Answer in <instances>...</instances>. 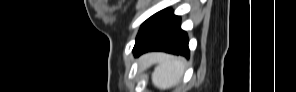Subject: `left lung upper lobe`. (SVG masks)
<instances>
[{
  "instance_id": "1",
  "label": "left lung upper lobe",
  "mask_w": 296,
  "mask_h": 92,
  "mask_svg": "<svg viewBox=\"0 0 296 92\" xmlns=\"http://www.w3.org/2000/svg\"><path fill=\"white\" fill-rule=\"evenodd\" d=\"M163 12L160 11L156 14H154L153 16H151L149 19H147L141 26L138 35L136 37V44H138L139 42H141V40H143L145 38V36L149 33V31L152 29V27L154 26V24L156 23L157 19L159 18V16L161 15V13Z\"/></svg>"
}]
</instances>
